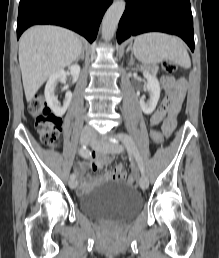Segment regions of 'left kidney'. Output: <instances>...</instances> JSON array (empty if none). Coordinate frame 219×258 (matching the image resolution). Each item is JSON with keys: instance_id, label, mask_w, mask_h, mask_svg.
Masks as SVG:
<instances>
[{"instance_id": "5707ae66", "label": "left kidney", "mask_w": 219, "mask_h": 258, "mask_svg": "<svg viewBox=\"0 0 219 258\" xmlns=\"http://www.w3.org/2000/svg\"><path fill=\"white\" fill-rule=\"evenodd\" d=\"M143 75L147 80L146 89L149 92L150 99L145 102L143 96L141 97L139 104L145 114H151L155 110L160 98V84L155 74L145 71Z\"/></svg>"}]
</instances>
